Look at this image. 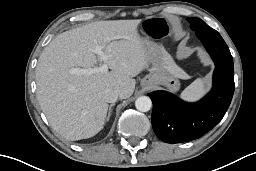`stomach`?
<instances>
[{"label": "stomach", "instance_id": "obj_1", "mask_svg": "<svg viewBox=\"0 0 256 171\" xmlns=\"http://www.w3.org/2000/svg\"><path fill=\"white\" fill-rule=\"evenodd\" d=\"M144 37L140 39L147 51L148 61L151 64L149 74L145 76L141 84L143 87H156L163 85L169 90L176 92L180 88V83L173 73V60L166 50L143 32Z\"/></svg>", "mask_w": 256, "mask_h": 171}]
</instances>
